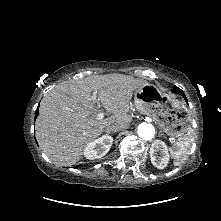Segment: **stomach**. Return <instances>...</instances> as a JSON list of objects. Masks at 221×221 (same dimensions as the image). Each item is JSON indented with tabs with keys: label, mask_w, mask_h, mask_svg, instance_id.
<instances>
[{
	"label": "stomach",
	"mask_w": 221,
	"mask_h": 221,
	"mask_svg": "<svg viewBox=\"0 0 221 221\" xmlns=\"http://www.w3.org/2000/svg\"><path fill=\"white\" fill-rule=\"evenodd\" d=\"M134 99L137 110L153 117L168 136L184 137L191 128V116L185 105L155 85L147 83L136 89Z\"/></svg>",
	"instance_id": "1"
}]
</instances>
